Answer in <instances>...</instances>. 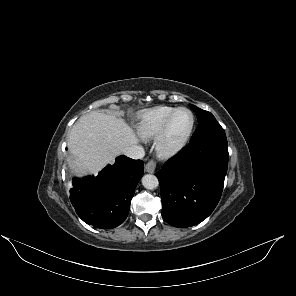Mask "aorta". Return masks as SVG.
Here are the masks:
<instances>
[{
	"instance_id": "obj_1",
	"label": "aorta",
	"mask_w": 296,
	"mask_h": 296,
	"mask_svg": "<svg viewBox=\"0 0 296 296\" xmlns=\"http://www.w3.org/2000/svg\"><path fill=\"white\" fill-rule=\"evenodd\" d=\"M142 185L149 190L157 188L159 185L158 179L155 175L146 174L142 177Z\"/></svg>"
}]
</instances>
